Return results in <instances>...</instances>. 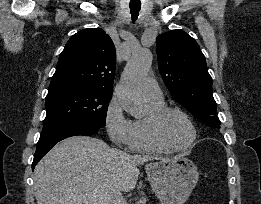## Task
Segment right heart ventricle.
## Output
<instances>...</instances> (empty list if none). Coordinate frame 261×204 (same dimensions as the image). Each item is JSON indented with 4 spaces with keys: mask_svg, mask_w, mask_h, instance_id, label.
Instances as JSON below:
<instances>
[{
    "mask_svg": "<svg viewBox=\"0 0 261 204\" xmlns=\"http://www.w3.org/2000/svg\"><path fill=\"white\" fill-rule=\"evenodd\" d=\"M146 107L148 110L147 115L144 118L132 120V133L130 147L136 151L142 152H154V153H168L172 150L163 146L157 141L154 137L151 125L150 118L158 110L165 107L164 100L159 101H149L145 100Z\"/></svg>",
    "mask_w": 261,
    "mask_h": 204,
    "instance_id": "right-heart-ventricle-1",
    "label": "right heart ventricle"
}]
</instances>
